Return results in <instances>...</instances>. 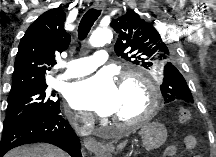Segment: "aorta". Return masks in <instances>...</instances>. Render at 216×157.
Masks as SVG:
<instances>
[{
  "instance_id": "obj_1",
  "label": "aorta",
  "mask_w": 216,
  "mask_h": 157,
  "mask_svg": "<svg viewBox=\"0 0 216 157\" xmlns=\"http://www.w3.org/2000/svg\"><path fill=\"white\" fill-rule=\"evenodd\" d=\"M112 40V32L107 28H98L90 36L89 42L93 47H101Z\"/></svg>"
}]
</instances>
